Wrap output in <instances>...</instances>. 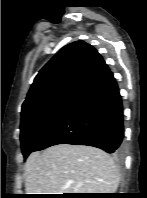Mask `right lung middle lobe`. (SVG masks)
Instances as JSON below:
<instances>
[{
    "label": "right lung middle lobe",
    "mask_w": 147,
    "mask_h": 198,
    "mask_svg": "<svg viewBox=\"0 0 147 198\" xmlns=\"http://www.w3.org/2000/svg\"><path fill=\"white\" fill-rule=\"evenodd\" d=\"M73 101H56L39 106L22 115L20 140L24 158L34 151L41 139L73 107Z\"/></svg>",
    "instance_id": "dd1d6c3e"
}]
</instances>
